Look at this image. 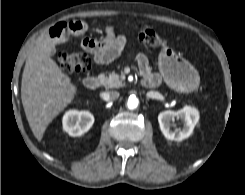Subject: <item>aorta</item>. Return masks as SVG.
I'll return each instance as SVG.
<instances>
[{
	"label": "aorta",
	"instance_id": "aorta-1",
	"mask_svg": "<svg viewBox=\"0 0 245 195\" xmlns=\"http://www.w3.org/2000/svg\"><path fill=\"white\" fill-rule=\"evenodd\" d=\"M138 104H139V100L135 95H131L128 98V101H127L128 109H131V110L136 109Z\"/></svg>",
	"mask_w": 245,
	"mask_h": 195
}]
</instances>
